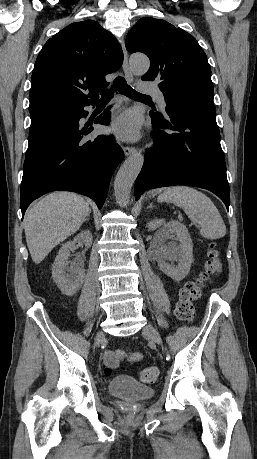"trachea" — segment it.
Wrapping results in <instances>:
<instances>
[{"label": "trachea", "mask_w": 257, "mask_h": 459, "mask_svg": "<svg viewBox=\"0 0 257 459\" xmlns=\"http://www.w3.org/2000/svg\"><path fill=\"white\" fill-rule=\"evenodd\" d=\"M124 94L125 96L132 98V99H137V98H150V96L138 93L130 85L127 84L126 80L119 76L115 79L114 84H113V89L111 90H106L101 93V102H107L110 101L113 97V92L115 90H118Z\"/></svg>", "instance_id": "trachea-1"}]
</instances>
